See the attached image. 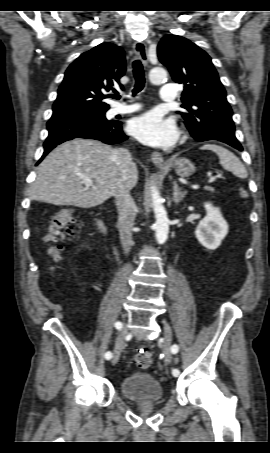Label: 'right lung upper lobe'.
<instances>
[{
	"instance_id": "right-lung-upper-lobe-1",
	"label": "right lung upper lobe",
	"mask_w": 270,
	"mask_h": 453,
	"mask_svg": "<svg viewBox=\"0 0 270 453\" xmlns=\"http://www.w3.org/2000/svg\"><path fill=\"white\" fill-rule=\"evenodd\" d=\"M125 70L124 51L112 43H101L81 54L65 72L53 104L52 118L108 110L109 105L103 99L110 95L104 92L121 86L120 78Z\"/></svg>"
}]
</instances>
